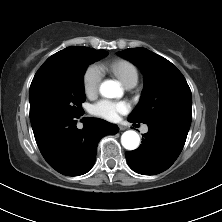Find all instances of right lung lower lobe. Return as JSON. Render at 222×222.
<instances>
[{"instance_id":"98d812e1","label":"right lung lower lobe","mask_w":222,"mask_h":222,"mask_svg":"<svg viewBox=\"0 0 222 222\" xmlns=\"http://www.w3.org/2000/svg\"><path fill=\"white\" fill-rule=\"evenodd\" d=\"M78 116L53 115L32 125L36 143L47 163L67 176L87 173L93 166L97 144L119 128L97 118H89L83 129L76 126Z\"/></svg>"}]
</instances>
